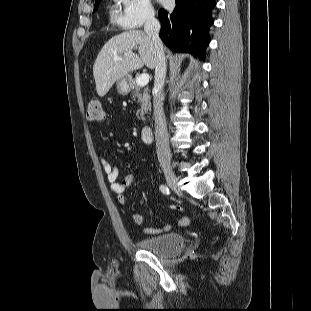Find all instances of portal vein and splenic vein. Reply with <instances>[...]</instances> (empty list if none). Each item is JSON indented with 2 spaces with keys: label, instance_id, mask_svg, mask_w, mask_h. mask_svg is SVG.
<instances>
[{
  "label": "portal vein and splenic vein",
  "instance_id": "1",
  "mask_svg": "<svg viewBox=\"0 0 311 311\" xmlns=\"http://www.w3.org/2000/svg\"><path fill=\"white\" fill-rule=\"evenodd\" d=\"M115 61H118V60H121L120 57H115L114 58ZM149 82V74L147 73H144V74H141L137 79H136V83L140 86H145L147 85Z\"/></svg>",
  "mask_w": 311,
  "mask_h": 311
}]
</instances>
